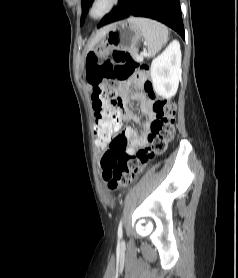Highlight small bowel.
I'll return each mask as SVG.
<instances>
[{
  "instance_id": "obj_1",
  "label": "small bowel",
  "mask_w": 238,
  "mask_h": 278,
  "mask_svg": "<svg viewBox=\"0 0 238 278\" xmlns=\"http://www.w3.org/2000/svg\"><path fill=\"white\" fill-rule=\"evenodd\" d=\"M133 83L137 88V91L133 94H130L128 91V81H124L123 84H118V89H122L123 95L122 119L135 122L138 121L136 114L127 106L130 100H137L140 102L141 111L144 115H146L148 121L143 125L142 132L140 134H137L131 127H125L122 130H119L116 135H109L105 137L99 135L102 138V141L107 142V149H110V144H129V149H124V151L130 153L133 152L136 147L144 146L147 143V138L150 134V122L155 118L153 100L146 96L143 82L141 80L134 78Z\"/></svg>"
}]
</instances>
